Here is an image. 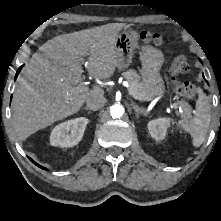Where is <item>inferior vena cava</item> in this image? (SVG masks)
Here are the masks:
<instances>
[{
	"instance_id": "1",
	"label": "inferior vena cava",
	"mask_w": 221,
	"mask_h": 221,
	"mask_svg": "<svg viewBox=\"0 0 221 221\" xmlns=\"http://www.w3.org/2000/svg\"><path fill=\"white\" fill-rule=\"evenodd\" d=\"M106 101L107 100L104 95L92 96L86 100V106L88 109L96 111L101 109L105 105Z\"/></svg>"
}]
</instances>
